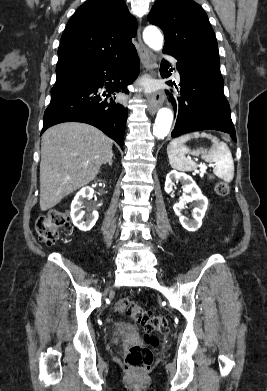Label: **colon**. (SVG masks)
<instances>
[{
	"label": "colon",
	"mask_w": 267,
	"mask_h": 391,
	"mask_svg": "<svg viewBox=\"0 0 267 391\" xmlns=\"http://www.w3.org/2000/svg\"><path fill=\"white\" fill-rule=\"evenodd\" d=\"M216 191L225 196L229 193V185L223 181L216 183ZM69 225V215L65 211L51 210L48 214L36 220V231L39 238L46 243H52L59 237L60 232ZM116 313H128L144 330L143 342L130 345L124 354V367L129 372L142 373L148 370L153 361L152 349L158 345L155 333L169 332L168 320L157 314L146 312L141 306L129 299L116 302Z\"/></svg>",
	"instance_id": "5ec220e1"
}]
</instances>
